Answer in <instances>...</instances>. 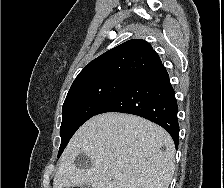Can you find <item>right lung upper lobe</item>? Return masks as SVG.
<instances>
[{
	"label": "right lung upper lobe",
	"instance_id": "1",
	"mask_svg": "<svg viewBox=\"0 0 224 188\" xmlns=\"http://www.w3.org/2000/svg\"><path fill=\"white\" fill-rule=\"evenodd\" d=\"M159 62L158 54L148 42L131 39L91 61L72 85L110 77L134 79Z\"/></svg>",
	"mask_w": 224,
	"mask_h": 188
}]
</instances>
